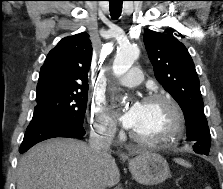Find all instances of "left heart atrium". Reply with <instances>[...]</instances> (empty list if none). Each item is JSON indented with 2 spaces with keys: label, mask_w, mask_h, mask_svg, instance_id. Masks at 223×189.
<instances>
[{
  "label": "left heart atrium",
  "mask_w": 223,
  "mask_h": 189,
  "mask_svg": "<svg viewBox=\"0 0 223 189\" xmlns=\"http://www.w3.org/2000/svg\"><path fill=\"white\" fill-rule=\"evenodd\" d=\"M143 103L135 101L120 115L121 124L128 129H132L139 121L142 115Z\"/></svg>",
  "instance_id": "1"
}]
</instances>
